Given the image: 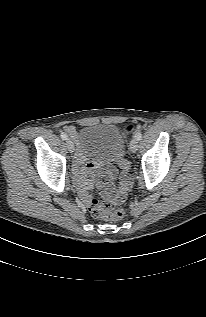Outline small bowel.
I'll list each match as a JSON object with an SVG mask.
<instances>
[{
    "instance_id": "1",
    "label": "small bowel",
    "mask_w": 206,
    "mask_h": 317,
    "mask_svg": "<svg viewBox=\"0 0 206 317\" xmlns=\"http://www.w3.org/2000/svg\"><path fill=\"white\" fill-rule=\"evenodd\" d=\"M66 132L73 138L77 136L76 129L73 126H68L66 128ZM87 159V154L84 151H78L74 160L73 171L79 196L82 202L87 207H89L93 199L90 196L88 190H90L94 184H96L98 187H102L103 183L101 181L95 180L93 176L98 164L95 162H87ZM107 174L110 178H112L115 175V171L113 169H108ZM130 185V172L123 171L119 189L116 191L113 185L109 184L106 189V194L108 196H113L117 201H122L125 198Z\"/></svg>"
}]
</instances>
